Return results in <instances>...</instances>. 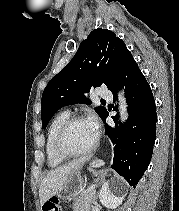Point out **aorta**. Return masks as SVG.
<instances>
[{"instance_id":"762f6f07","label":"aorta","mask_w":179,"mask_h":211,"mask_svg":"<svg viewBox=\"0 0 179 211\" xmlns=\"http://www.w3.org/2000/svg\"><path fill=\"white\" fill-rule=\"evenodd\" d=\"M118 100H119L120 119L122 122H125L128 119V110H127L126 99L124 97L123 92L118 93Z\"/></svg>"}]
</instances>
